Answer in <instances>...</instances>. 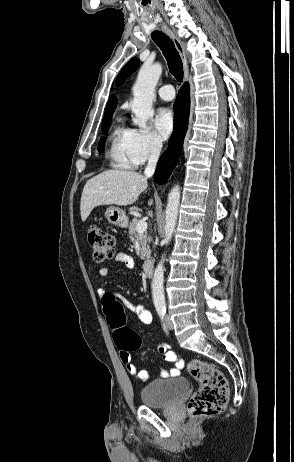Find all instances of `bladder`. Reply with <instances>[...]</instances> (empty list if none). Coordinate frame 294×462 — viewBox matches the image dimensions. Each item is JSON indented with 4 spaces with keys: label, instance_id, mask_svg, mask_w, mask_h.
<instances>
[{
    "label": "bladder",
    "instance_id": "1",
    "mask_svg": "<svg viewBox=\"0 0 294 462\" xmlns=\"http://www.w3.org/2000/svg\"><path fill=\"white\" fill-rule=\"evenodd\" d=\"M189 389L185 378L154 380L141 388L140 399L143 405L152 408H165L180 399Z\"/></svg>",
    "mask_w": 294,
    "mask_h": 462
}]
</instances>
